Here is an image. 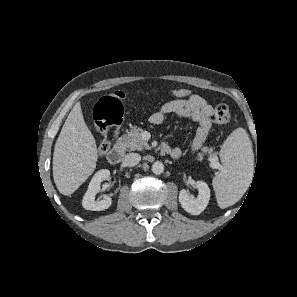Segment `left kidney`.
<instances>
[{
	"instance_id": "left-kidney-1",
	"label": "left kidney",
	"mask_w": 297,
	"mask_h": 297,
	"mask_svg": "<svg viewBox=\"0 0 297 297\" xmlns=\"http://www.w3.org/2000/svg\"><path fill=\"white\" fill-rule=\"evenodd\" d=\"M195 186L199 192L198 196L196 198L190 197L186 190L183 189L179 193V202L186 212L199 215L209 203L210 189L207 183L203 181H197Z\"/></svg>"
}]
</instances>
